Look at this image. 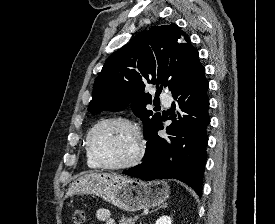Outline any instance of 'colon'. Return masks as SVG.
I'll use <instances>...</instances> for the list:
<instances>
[{"label": "colon", "mask_w": 275, "mask_h": 224, "mask_svg": "<svg viewBox=\"0 0 275 224\" xmlns=\"http://www.w3.org/2000/svg\"><path fill=\"white\" fill-rule=\"evenodd\" d=\"M72 219L74 224H85L87 222V215L82 210H76L73 213Z\"/></svg>", "instance_id": "obj_1"}]
</instances>
